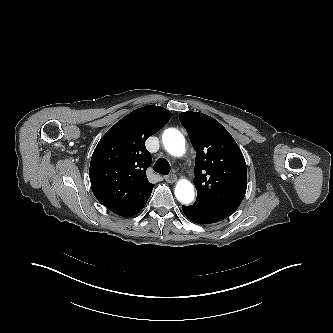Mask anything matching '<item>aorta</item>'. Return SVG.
Returning a JSON list of instances; mask_svg holds the SVG:
<instances>
[{
	"instance_id": "obj_1",
	"label": "aorta",
	"mask_w": 333,
	"mask_h": 333,
	"mask_svg": "<svg viewBox=\"0 0 333 333\" xmlns=\"http://www.w3.org/2000/svg\"><path fill=\"white\" fill-rule=\"evenodd\" d=\"M162 143L166 151L172 156L181 157L185 153V138L175 128H168L163 132ZM174 193L177 200L182 204L191 203L195 196L193 184L186 179L177 182Z\"/></svg>"
}]
</instances>
